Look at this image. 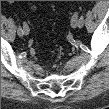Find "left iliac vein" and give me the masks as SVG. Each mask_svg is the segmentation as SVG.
<instances>
[{
	"label": "left iliac vein",
	"instance_id": "4c4485c4",
	"mask_svg": "<svg viewBox=\"0 0 109 109\" xmlns=\"http://www.w3.org/2000/svg\"><path fill=\"white\" fill-rule=\"evenodd\" d=\"M79 13L78 12H75L74 15L72 16V19H71V26L72 28H76V27H79Z\"/></svg>",
	"mask_w": 109,
	"mask_h": 109
}]
</instances>
